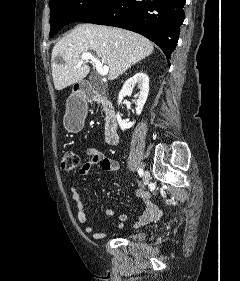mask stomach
<instances>
[{
    "mask_svg": "<svg viewBox=\"0 0 240 281\" xmlns=\"http://www.w3.org/2000/svg\"><path fill=\"white\" fill-rule=\"evenodd\" d=\"M85 117V104L78 97V92H73L66 106L63 118L64 126L70 132H77L82 128Z\"/></svg>",
    "mask_w": 240,
    "mask_h": 281,
    "instance_id": "obj_1",
    "label": "stomach"
}]
</instances>
